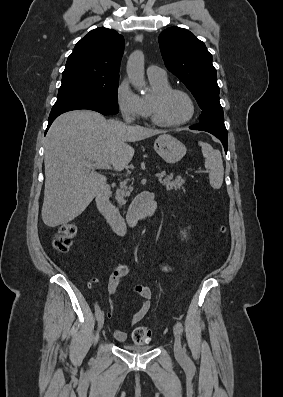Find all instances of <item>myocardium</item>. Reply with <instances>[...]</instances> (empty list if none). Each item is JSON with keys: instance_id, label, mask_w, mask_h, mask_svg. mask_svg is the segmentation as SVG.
<instances>
[{"instance_id": "myocardium-1", "label": "myocardium", "mask_w": 283, "mask_h": 397, "mask_svg": "<svg viewBox=\"0 0 283 397\" xmlns=\"http://www.w3.org/2000/svg\"><path fill=\"white\" fill-rule=\"evenodd\" d=\"M174 93H180L188 99V101L190 102V105H191V112L187 118H185L181 121L166 122L161 117V107H162L163 102L171 94H174ZM195 113H196V104H195L193 97L187 91L180 89V88L169 87L164 90H161V91L157 92L156 94H154L150 101L151 119H152L153 123H155L156 125H158L160 127L176 128V127L183 126L193 119V117L195 116Z\"/></svg>"}]
</instances>
